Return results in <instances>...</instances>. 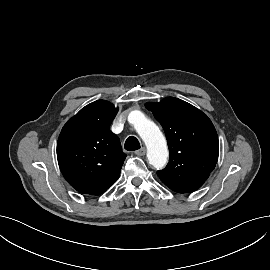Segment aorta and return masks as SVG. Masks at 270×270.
<instances>
[{
  "instance_id": "obj_1",
  "label": "aorta",
  "mask_w": 270,
  "mask_h": 270,
  "mask_svg": "<svg viewBox=\"0 0 270 270\" xmlns=\"http://www.w3.org/2000/svg\"><path fill=\"white\" fill-rule=\"evenodd\" d=\"M132 124L147 147L149 163L156 169L163 168L168 159L165 137L158 126L140 111L130 113Z\"/></svg>"
}]
</instances>
